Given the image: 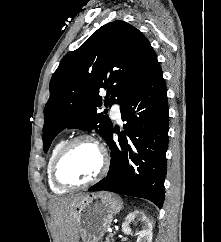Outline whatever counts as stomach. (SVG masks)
Returning <instances> with one entry per match:
<instances>
[{"instance_id": "obj_1", "label": "stomach", "mask_w": 221, "mask_h": 242, "mask_svg": "<svg viewBox=\"0 0 221 242\" xmlns=\"http://www.w3.org/2000/svg\"><path fill=\"white\" fill-rule=\"evenodd\" d=\"M121 209V199L111 193L86 195L74 209L81 242H100L113 217Z\"/></svg>"}]
</instances>
